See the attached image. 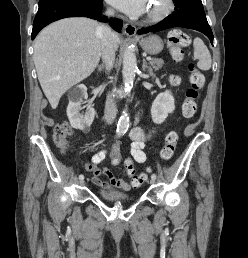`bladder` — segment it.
Instances as JSON below:
<instances>
[{"mask_svg":"<svg viewBox=\"0 0 248 258\" xmlns=\"http://www.w3.org/2000/svg\"><path fill=\"white\" fill-rule=\"evenodd\" d=\"M99 195L103 199L112 201V202H125L131 198L129 194L119 192L113 189H101L99 191Z\"/></svg>","mask_w":248,"mask_h":258,"instance_id":"31cf9c89","label":"bladder"}]
</instances>
